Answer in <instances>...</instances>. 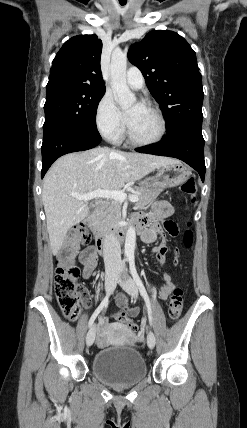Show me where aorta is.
Returning a JSON list of instances; mask_svg holds the SVG:
<instances>
[{"instance_id":"1","label":"aorta","mask_w":247,"mask_h":428,"mask_svg":"<svg viewBox=\"0 0 247 428\" xmlns=\"http://www.w3.org/2000/svg\"><path fill=\"white\" fill-rule=\"evenodd\" d=\"M127 55L121 49H115L111 57L110 76L111 84L117 103L121 107H128L135 101V95L130 91L126 82ZM136 245V232L130 226L125 238V255L132 257Z\"/></svg>"}]
</instances>
